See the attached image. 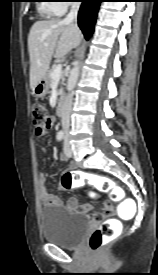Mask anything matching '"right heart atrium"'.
I'll return each mask as SVG.
<instances>
[{"mask_svg":"<svg viewBox=\"0 0 158 275\" xmlns=\"http://www.w3.org/2000/svg\"><path fill=\"white\" fill-rule=\"evenodd\" d=\"M76 0H57L54 2L55 7L60 10L61 13H64L69 5H71V2H75Z\"/></svg>","mask_w":158,"mask_h":275,"instance_id":"obj_1","label":"right heart atrium"}]
</instances>
